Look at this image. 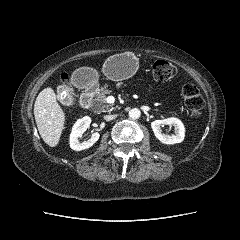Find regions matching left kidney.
Segmentation results:
<instances>
[{
    "instance_id": "5707ae66",
    "label": "left kidney",
    "mask_w": 240,
    "mask_h": 240,
    "mask_svg": "<svg viewBox=\"0 0 240 240\" xmlns=\"http://www.w3.org/2000/svg\"><path fill=\"white\" fill-rule=\"evenodd\" d=\"M165 125L174 126L175 135L163 134L161 128ZM151 128L156 138L164 144H175L184 140L185 128L178 118L171 117L163 120H155L151 123Z\"/></svg>"
}]
</instances>
